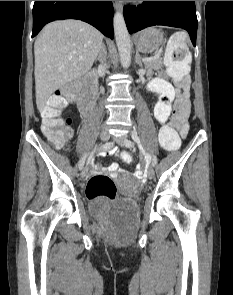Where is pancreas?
Returning <instances> with one entry per match:
<instances>
[{"label": "pancreas", "instance_id": "pancreas-1", "mask_svg": "<svg viewBox=\"0 0 233 295\" xmlns=\"http://www.w3.org/2000/svg\"><path fill=\"white\" fill-rule=\"evenodd\" d=\"M145 68L147 69V75H152L153 70H159L162 67V58L154 59L151 61L144 62Z\"/></svg>", "mask_w": 233, "mask_h": 295}]
</instances>
